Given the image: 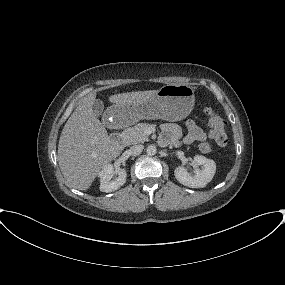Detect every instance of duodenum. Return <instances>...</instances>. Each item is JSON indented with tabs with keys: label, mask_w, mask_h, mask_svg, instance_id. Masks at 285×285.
Here are the masks:
<instances>
[{
	"label": "duodenum",
	"mask_w": 285,
	"mask_h": 285,
	"mask_svg": "<svg viewBox=\"0 0 285 285\" xmlns=\"http://www.w3.org/2000/svg\"><path fill=\"white\" fill-rule=\"evenodd\" d=\"M115 141H116V142H119V138H118V137H117V138H115Z\"/></svg>",
	"instance_id": "1"
}]
</instances>
